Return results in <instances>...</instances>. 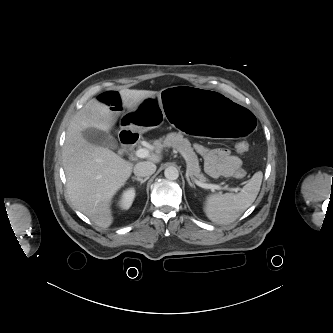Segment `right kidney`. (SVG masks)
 <instances>
[{
    "label": "right kidney",
    "instance_id": "obj_1",
    "mask_svg": "<svg viewBox=\"0 0 333 333\" xmlns=\"http://www.w3.org/2000/svg\"><path fill=\"white\" fill-rule=\"evenodd\" d=\"M134 197H135V190L133 188L125 190L120 197L119 206L122 209H129L133 203Z\"/></svg>",
    "mask_w": 333,
    "mask_h": 333
}]
</instances>
